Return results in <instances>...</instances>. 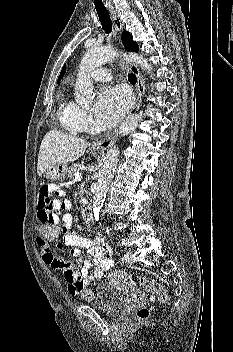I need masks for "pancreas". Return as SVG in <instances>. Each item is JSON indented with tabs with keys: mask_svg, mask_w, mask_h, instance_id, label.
Wrapping results in <instances>:
<instances>
[{
	"mask_svg": "<svg viewBox=\"0 0 233 352\" xmlns=\"http://www.w3.org/2000/svg\"><path fill=\"white\" fill-rule=\"evenodd\" d=\"M78 170H79L78 165H73V166L69 167L67 169L68 178L71 179L72 181H74V176H75L76 172H78Z\"/></svg>",
	"mask_w": 233,
	"mask_h": 352,
	"instance_id": "obj_1",
	"label": "pancreas"
}]
</instances>
